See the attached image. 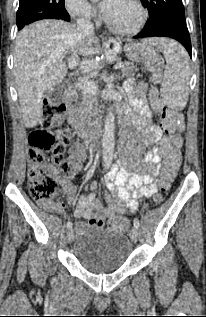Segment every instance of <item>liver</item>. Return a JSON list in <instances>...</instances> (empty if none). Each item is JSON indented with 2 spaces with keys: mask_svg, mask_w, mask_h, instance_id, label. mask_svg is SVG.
<instances>
[{
  "mask_svg": "<svg viewBox=\"0 0 206 317\" xmlns=\"http://www.w3.org/2000/svg\"><path fill=\"white\" fill-rule=\"evenodd\" d=\"M81 55L83 71L100 66L93 57L101 53L99 39L83 36L74 25L59 20L32 23L19 32L14 50V79L24 125L36 126L43 112V98L62 83L67 54ZM90 63L91 66L84 65Z\"/></svg>",
  "mask_w": 206,
  "mask_h": 317,
  "instance_id": "liver-1",
  "label": "liver"
}]
</instances>
